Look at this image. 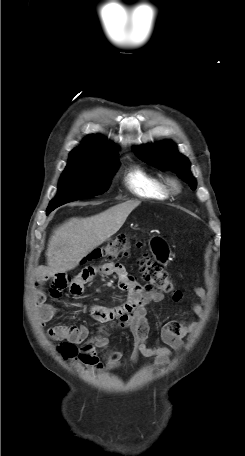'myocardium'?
I'll list each match as a JSON object with an SVG mask.
<instances>
[{"label":"myocardium","instance_id":"obj_1","mask_svg":"<svg viewBox=\"0 0 245 456\" xmlns=\"http://www.w3.org/2000/svg\"><path fill=\"white\" fill-rule=\"evenodd\" d=\"M166 184L170 191L177 192L180 189V183L176 179H169Z\"/></svg>","mask_w":245,"mask_h":456}]
</instances>
